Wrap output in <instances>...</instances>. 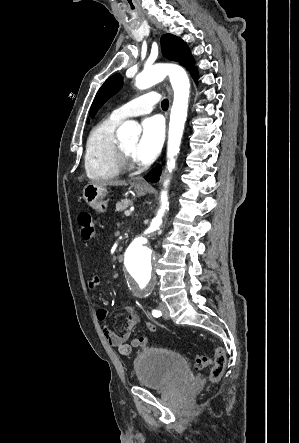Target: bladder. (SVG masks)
Here are the masks:
<instances>
[{"mask_svg": "<svg viewBox=\"0 0 299 443\" xmlns=\"http://www.w3.org/2000/svg\"><path fill=\"white\" fill-rule=\"evenodd\" d=\"M133 369L138 384L148 389H164L193 378L185 358L163 348L141 351L133 361Z\"/></svg>", "mask_w": 299, "mask_h": 443, "instance_id": "bladder-1", "label": "bladder"}]
</instances>
